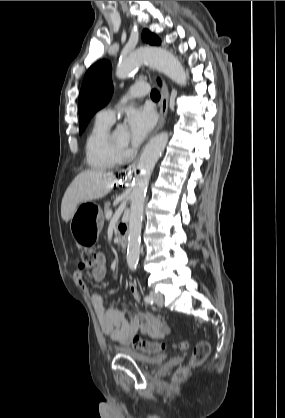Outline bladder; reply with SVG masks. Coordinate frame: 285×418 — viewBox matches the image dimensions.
Returning <instances> with one entry per match:
<instances>
[{"label":"bladder","mask_w":285,"mask_h":418,"mask_svg":"<svg viewBox=\"0 0 285 418\" xmlns=\"http://www.w3.org/2000/svg\"><path fill=\"white\" fill-rule=\"evenodd\" d=\"M118 351L131 357L137 363L145 366H153L161 363L167 357L165 354L160 353L137 352L125 346L118 347Z\"/></svg>","instance_id":"31cf9c89"}]
</instances>
